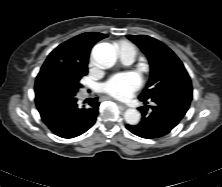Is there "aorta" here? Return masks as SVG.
<instances>
[{"mask_svg": "<svg viewBox=\"0 0 222 187\" xmlns=\"http://www.w3.org/2000/svg\"><path fill=\"white\" fill-rule=\"evenodd\" d=\"M92 58L96 64L102 68L112 67L117 60V53L114 46L110 43H98L92 49ZM141 114L136 109H128L124 113V119L129 125H137Z\"/></svg>", "mask_w": 222, "mask_h": 187, "instance_id": "762f6f07", "label": "aorta"}]
</instances>
